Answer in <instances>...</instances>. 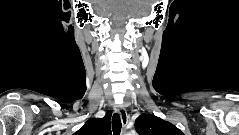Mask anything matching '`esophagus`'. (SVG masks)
<instances>
[{
  "label": "esophagus",
  "mask_w": 239,
  "mask_h": 135,
  "mask_svg": "<svg viewBox=\"0 0 239 135\" xmlns=\"http://www.w3.org/2000/svg\"><path fill=\"white\" fill-rule=\"evenodd\" d=\"M120 115L121 122L123 126H126L128 123V115L126 109L123 105L115 106L114 108Z\"/></svg>",
  "instance_id": "esophagus-1"
}]
</instances>
